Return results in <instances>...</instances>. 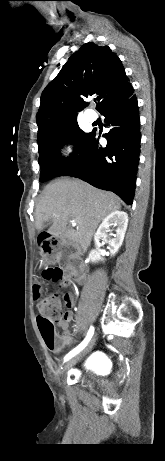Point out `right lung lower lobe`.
<instances>
[{
  "instance_id": "98d812e1",
  "label": "right lung lower lobe",
  "mask_w": 165,
  "mask_h": 461,
  "mask_svg": "<svg viewBox=\"0 0 165 461\" xmlns=\"http://www.w3.org/2000/svg\"><path fill=\"white\" fill-rule=\"evenodd\" d=\"M107 146L102 148L92 131L85 146L56 177L72 176L117 194L126 204L133 203L140 155V119L136 95L101 113Z\"/></svg>"
}]
</instances>
